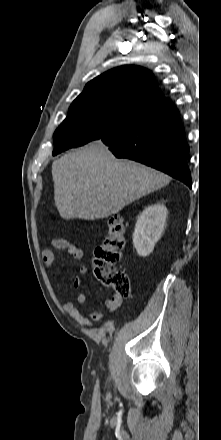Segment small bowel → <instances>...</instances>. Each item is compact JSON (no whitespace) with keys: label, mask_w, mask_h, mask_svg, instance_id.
<instances>
[{"label":"small bowel","mask_w":221,"mask_h":440,"mask_svg":"<svg viewBox=\"0 0 221 440\" xmlns=\"http://www.w3.org/2000/svg\"><path fill=\"white\" fill-rule=\"evenodd\" d=\"M51 246L55 249L62 250L67 252L74 260L80 261L83 259L84 253L83 251L65 239H55L50 242ZM41 258L48 269H52L55 264V254L52 249L45 248L41 252ZM79 272L81 275H86L88 273L87 266H81L79 268ZM82 285V278L80 276L76 277L73 281V286L75 288H79ZM77 303L83 305L86 303V295L84 293H80L77 295ZM122 303V298L116 296L115 294L104 300V306L106 307V311H91L88 313V316H83L77 306L67 301L63 303L62 308L70 313L72 317L78 320L82 325L92 326L93 321H101L107 314L113 313Z\"/></svg>","instance_id":"small-bowel-1"}]
</instances>
